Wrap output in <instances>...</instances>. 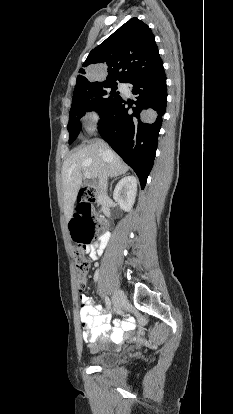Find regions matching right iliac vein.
I'll return each instance as SVG.
<instances>
[{
  "label": "right iliac vein",
  "mask_w": 233,
  "mask_h": 414,
  "mask_svg": "<svg viewBox=\"0 0 233 414\" xmlns=\"http://www.w3.org/2000/svg\"><path fill=\"white\" fill-rule=\"evenodd\" d=\"M112 300L114 304V310L117 313H120L127 303L126 295L121 290H116L114 292Z\"/></svg>",
  "instance_id": "right-iliac-vein-1"
}]
</instances>
